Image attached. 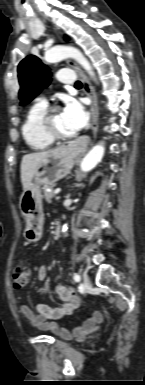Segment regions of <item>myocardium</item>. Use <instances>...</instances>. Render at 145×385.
Instances as JSON below:
<instances>
[{
    "label": "myocardium",
    "instance_id": "f54148a6",
    "mask_svg": "<svg viewBox=\"0 0 145 385\" xmlns=\"http://www.w3.org/2000/svg\"><path fill=\"white\" fill-rule=\"evenodd\" d=\"M59 107L53 106L46 110L45 114L42 116L40 121V127L42 132L46 137H48L52 141H65L71 139L75 136V134L71 135H62L57 133L52 126V118L54 114L59 111Z\"/></svg>",
    "mask_w": 145,
    "mask_h": 385
}]
</instances>
